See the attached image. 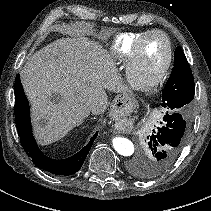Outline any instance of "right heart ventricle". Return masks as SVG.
I'll list each match as a JSON object with an SVG mask.
<instances>
[{"label":"right heart ventricle","instance_id":"right-heart-ventricle-1","mask_svg":"<svg viewBox=\"0 0 211 211\" xmlns=\"http://www.w3.org/2000/svg\"><path fill=\"white\" fill-rule=\"evenodd\" d=\"M147 32H124L117 35L110 47L112 56L119 62L127 63L131 57L135 43Z\"/></svg>","mask_w":211,"mask_h":211}]
</instances>
